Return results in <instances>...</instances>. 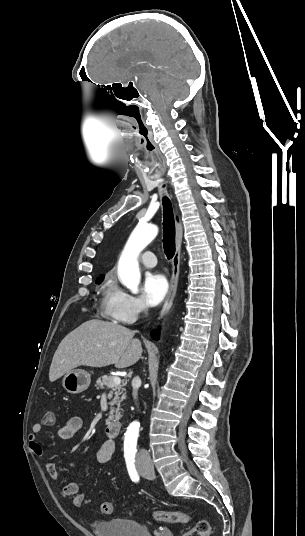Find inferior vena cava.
<instances>
[{"label": "inferior vena cava", "instance_id": "1", "mask_svg": "<svg viewBox=\"0 0 305 536\" xmlns=\"http://www.w3.org/2000/svg\"><path fill=\"white\" fill-rule=\"evenodd\" d=\"M142 310H145V308H142ZM134 380H139V378H134ZM132 396H134L135 400L137 398V390H133ZM150 458L148 452L146 450H140L138 454V460H148Z\"/></svg>", "mask_w": 305, "mask_h": 536}]
</instances>
